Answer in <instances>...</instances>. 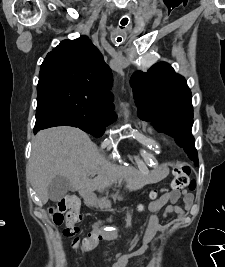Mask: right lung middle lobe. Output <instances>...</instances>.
Wrapping results in <instances>:
<instances>
[{
    "mask_svg": "<svg viewBox=\"0 0 225 267\" xmlns=\"http://www.w3.org/2000/svg\"><path fill=\"white\" fill-rule=\"evenodd\" d=\"M37 98H46L68 115L83 131L100 137L116 120L113 104L90 87L62 78L39 80Z\"/></svg>",
    "mask_w": 225,
    "mask_h": 267,
    "instance_id": "1",
    "label": "right lung middle lobe"
}]
</instances>
